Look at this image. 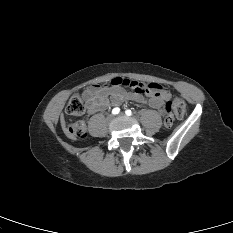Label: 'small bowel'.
Returning <instances> with one entry per match:
<instances>
[{
  "label": "small bowel",
  "mask_w": 233,
  "mask_h": 233,
  "mask_svg": "<svg viewBox=\"0 0 233 233\" xmlns=\"http://www.w3.org/2000/svg\"><path fill=\"white\" fill-rule=\"evenodd\" d=\"M123 78H114L113 80H120ZM141 83V82H140ZM143 84V83H142ZM148 87L154 85L158 87L157 91H137L128 92L125 87L118 83L110 85H94L87 88L82 96L86 102V109L89 114H96L101 110H105L112 106H119L124 101L131 100L139 105H148L159 111H164V102L169 97L168 89L164 88L158 83H150ZM144 95L149 97L145 99Z\"/></svg>",
  "instance_id": "1"
}]
</instances>
